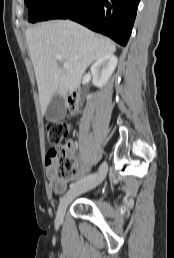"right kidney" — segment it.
<instances>
[{
	"label": "right kidney",
	"instance_id": "right-kidney-1",
	"mask_svg": "<svg viewBox=\"0 0 174 258\" xmlns=\"http://www.w3.org/2000/svg\"><path fill=\"white\" fill-rule=\"evenodd\" d=\"M118 63V59L116 56L106 55L99 58L92 66H91V74L93 77V83L97 87H103L111 75L113 74ZM91 98V95L87 96V99Z\"/></svg>",
	"mask_w": 174,
	"mask_h": 258
}]
</instances>
